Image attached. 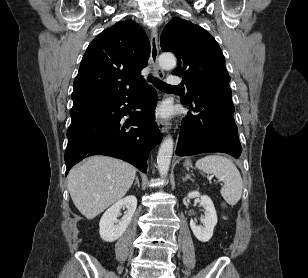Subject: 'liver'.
Returning a JSON list of instances; mask_svg holds the SVG:
<instances>
[{
	"mask_svg": "<svg viewBox=\"0 0 308 278\" xmlns=\"http://www.w3.org/2000/svg\"><path fill=\"white\" fill-rule=\"evenodd\" d=\"M136 168L122 160L92 156L76 165L68 174V190L77 209L94 219L130 189Z\"/></svg>",
	"mask_w": 308,
	"mask_h": 278,
	"instance_id": "obj_1",
	"label": "liver"
}]
</instances>
